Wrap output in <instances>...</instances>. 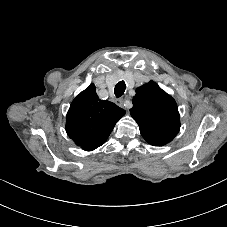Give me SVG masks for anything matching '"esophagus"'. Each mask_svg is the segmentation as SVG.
Returning <instances> with one entry per match:
<instances>
[{"mask_svg": "<svg viewBox=\"0 0 227 227\" xmlns=\"http://www.w3.org/2000/svg\"><path fill=\"white\" fill-rule=\"evenodd\" d=\"M116 104L119 106V107H121V108H123L124 107V100L123 99H116Z\"/></svg>", "mask_w": 227, "mask_h": 227, "instance_id": "obj_1", "label": "esophagus"}]
</instances>
